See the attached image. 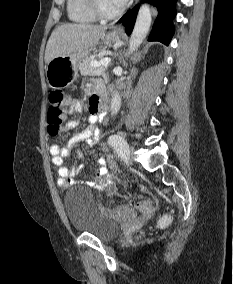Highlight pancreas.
<instances>
[{
    "label": "pancreas",
    "mask_w": 233,
    "mask_h": 284,
    "mask_svg": "<svg viewBox=\"0 0 233 284\" xmlns=\"http://www.w3.org/2000/svg\"><path fill=\"white\" fill-rule=\"evenodd\" d=\"M95 59L96 55H90L79 64V70L81 75H92L96 72L104 73L106 67H103L101 65L99 68H96L90 65L91 61H94Z\"/></svg>",
    "instance_id": "pancreas-1"
}]
</instances>
